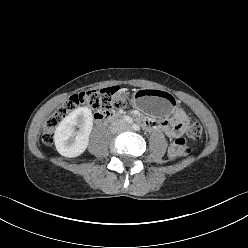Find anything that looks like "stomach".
<instances>
[{
	"mask_svg": "<svg viewBox=\"0 0 248 248\" xmlns=\"http://www.w3.org/2000/svg\"><path fill=\"white\" fill-rule=\"evenodd\" d=\"M134 101L138 108L146 110L149 114L156 117L172 114L176 105V100L173 96L152 88L138 91Z\"/></svg>",
	"mask_w": 248,
	"mask_h": 248,
	"instance_id": "stomach-1",
	"label": "stomach"
}]
</instances>
